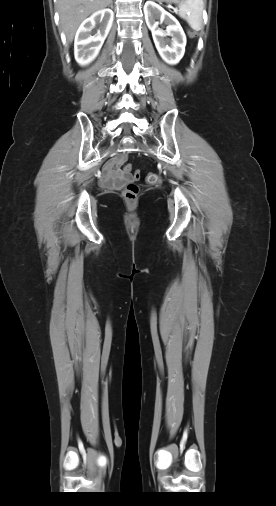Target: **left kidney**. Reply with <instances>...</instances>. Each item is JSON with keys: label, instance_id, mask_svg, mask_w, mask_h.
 <instances>
[{"label": "left kidney", "instance_id": "1", "mask_svg": "<svg viewBox=\"0 0 276 506\" xmlns=\"http://www.w3.org/2000/svg\"><path fill=\"white\" fill-rule=\"evenodd\" d=\"M144 15L162 59L168 64H177L182 59L186 46V35L178 20L153 1L145 3ZM155 19H160L161 22L167 24L166 31L158 28V22ZM167 35L172 37L169 45L164 39Z\"/></svg>", "mask_w": 276, "mask_h": 506}]
</instances>
